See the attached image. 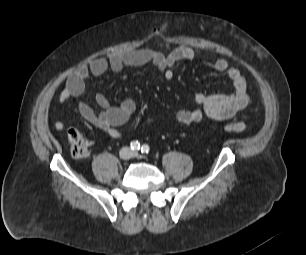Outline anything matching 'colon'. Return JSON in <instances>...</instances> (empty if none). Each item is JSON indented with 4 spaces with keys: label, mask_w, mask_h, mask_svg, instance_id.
I'll return each mask as SVG.
<instances>
[{
    "label": "colon",
    "mask_w": 306,
    "mask_h": 255,
    "mask_svg": "<svg viewBox=\"0 0 306 255\" xmlns=\"http://www.w3.org/2000/svg\"><path fill=\"white\" fill-rule=\"evenodd\" d=\"M224 129L230 132H244L247 126L239 120H231L224 125ZM72 156L85 158L89 154V141L77 129L71 128L67 132Z\"/></svg>",
    "instance_id": "obj_1"
}]
</instances>
